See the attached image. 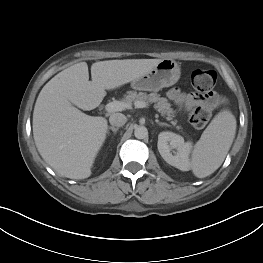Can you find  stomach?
Returning <instances> with one entry per match:
<instances>
[{
  "instance_id": "0dacf381",
  "label": "stomach",
  "mask_w": 263,
  "mask_h": 263,
  "mask_svg": "<svg viewBox=\"0 0 263 263\" xmlns=\"http://www.w3.org/2000/svg\"><path fill=\"white\" fill-rule=\"evenodd\" d=\"M180 67L173 59H162L149 72L131 82L135 90L157 92L164 87L177 83L180 78Z\"/></svg>"
}]
</instances>
